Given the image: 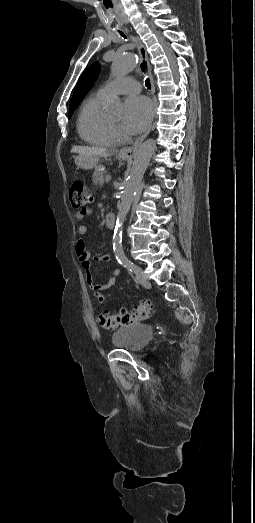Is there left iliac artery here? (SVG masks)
<instances>
[{"label": "left iliac artery", "instance_id": "obj_1", "mask_svg": "<svg viewBox=\"0 0 255 523\" xmlns=\"http://www.w3.org/2000/svg\"><path fill=\"white\" fill-rule=\"evenodd\" d=\"M123 265L131 272L138 273L141 271V269L136 266L133 262H131L129 259L123 260Z\"/></svg>", "mask_w": 255, "mask_h": 523}]
</instances>
